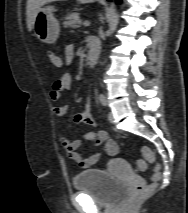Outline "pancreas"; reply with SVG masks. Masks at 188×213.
Returning <instances> with one entry per match:
<instances>
[{
    "mask_svg": "<svg viewBox=\"0 0 188 213\" xmlns=\"http://www.w3.org/2000/svg\"><path fill=\"white\" fill-rule=\"evenodd\" d=\"M80 23H81V20L79 18V13L73 12L66 17L65 21L63 22V25L65 28L67 27L78 28Z\"/></svg>",
    "mask_w": 188,
    "mask_h": 213,
    "instance_id": "cf45deb5",
    "label": "pancreas"
}]
</instances>
